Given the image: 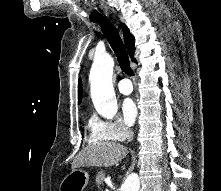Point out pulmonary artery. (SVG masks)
I'll return each instance as SVG.
<instances>
[{"mask_svg":"<svg viewBox=\"0 0 221 191\" xmlns=\"http://www.w3.org/2000/svg\"><path fill=\"white\" fill-rule=\"evenodd\" d=\"M117 88L122 94H130L133 90V86L128 79H121L117 83Z\"/></svg>","mask_w":221,"mask_h":191,"instance_id":"e3ab8cb5","label":"pulmonary artery"}]
</instances>
